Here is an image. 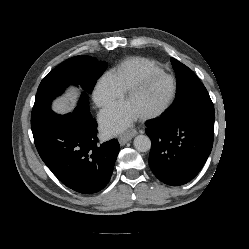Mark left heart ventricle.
I'll use <instances>...</instances> for the list:
<instances>
[{"instance_id": "b2bd125f", "label": "left heart ventricle", "mask_w": 249, "mask_h": 249, "mask_svg": "<svg viewBox=\"0 0 249 249\" xmlns=\"http://www.w3.org/2000/svg\"><path fill=\"white\" fill-rule=\"evenodd\" d=\"M172 83L167 78H157L128 98L125 104L137 115H143L161 107L171 94Z\"/></svg>"}]
</instances>
